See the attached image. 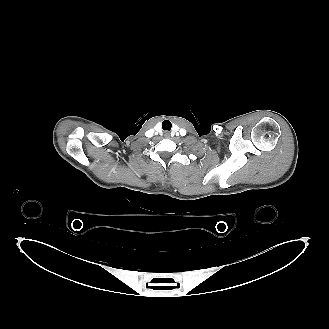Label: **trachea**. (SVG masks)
<instances>
[{"label":"trachea","mask_w":329,"mask_h":329,"mask_svg":"<svg viewBox=\"0 0 329 329\" xmlns=\"http://www.w3.org/2000/svg\"><path fill=\"white\" fill-rule=\"evenodd\" d=\"M171 127H172V124H171V122L169 120H164L162 122V128H163V130L170 131L171 130Z\"/></svg>","instance_id":"trachea-1"}]
</instances>
